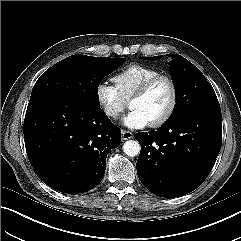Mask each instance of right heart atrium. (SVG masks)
<instances>
[{"label": "right heart atrium", "instance_id": "1", "mask_svg": "<svg viewBox=\"0 0 241 241\" xmlns=\"http://www.w3.org/2000/svg\"><path fill=\"white\" fill-rule=\"evenodd\" d=\"M95 97L102 112L110 119H116L126 107V101L117 88L106 81L96 85Z\"/></svg>", "mask_w": 241, "mask_h": 241}]
</instances>
